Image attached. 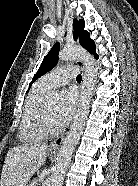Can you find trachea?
<instances>
[{
    "label": "trachea",
    "instance_id": "3493384b",
    "mask_svg": "<svg viewBox=\"0 0 138 186\" xmlns=\"http://www.w3.org/2000/svg\"><path fill=\"white\" fill-rule=\"evenodd\" d=\"M76 79H77V81L81 82L82 76L79 74Z\"/></svg>",
    "mask_w": 138,
    "mask_h": 186
}]
</instances>
